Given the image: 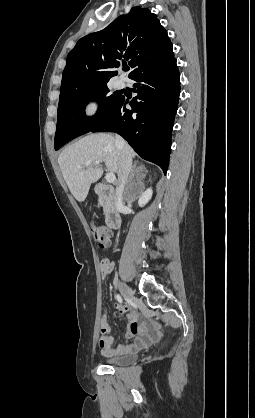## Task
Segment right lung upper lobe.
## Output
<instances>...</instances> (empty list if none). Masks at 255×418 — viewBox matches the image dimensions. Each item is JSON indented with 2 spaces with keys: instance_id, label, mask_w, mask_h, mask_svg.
Returning a JSON list of instances; mask_svg holds the SVG:
<instances>
[{
  "instance_id": "cb5924a9",
  "label": "right lung upper lobe",
  "mask_w": 255,
  "mask_h": 418,
  "mask_svg": "<svg viewBox=\"0 0 255 418\" xmlns=\"http://www.w3.org/2000/svg\"><path fill=\"white\" fill-rule=\"evenodd\" d=\"M174 56L167 31L147 8L134 7L104 29L81 38L67 56L61 92L107 83L120 61L133 68L129 78Z\"/></svg>"
}]
</instances>
